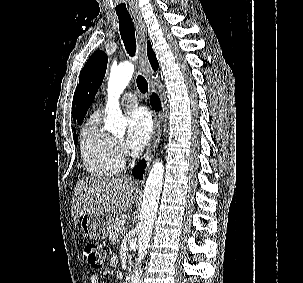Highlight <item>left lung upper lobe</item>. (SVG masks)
<instances>
[{
	"mask_svg": "<svg viewBox=\"0 0 303 283\" xmlns=\"http://www.w3.org/2000/svg\"><path fill=\"white\" fill-rule=\"evenodd\" d=\"M107 55L103 51L94 52L83 67L77 96V121L82 123L88 108L102 84L107 68Z\"/></svg>",
	"mask_w": 303,
	"mask_h": 283,
	"instance_id": "left-lung-upper-lobe-1",
	"label": "left lung upper lobe"
}]
</instances>
